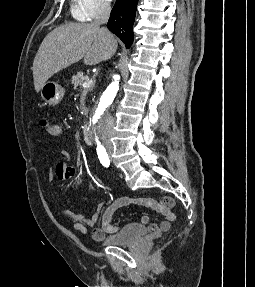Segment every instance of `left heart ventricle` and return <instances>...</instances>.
Segmentation results:
<instances>
[{"instance_id":"1","label":"left heart ventricle","mask_w":255,"mask_h":287,"mask_svg":"<svg viewBox=\"0 0 255 287\" xmlns=\"http://www.w3.org/2000/svg\"><path fill=\"white\" fill-rule=\"evenodd\" d=\"M93 33H103V32H93ZM91 39H103V38H91ZM89 48H100V47H89Z\"/></svg>"}]
</instances>
